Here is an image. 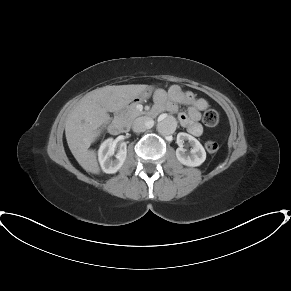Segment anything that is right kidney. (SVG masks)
Wrapping results in <instances>:
<instances>
[{"label": "right kidney", "mask_w": 291, "mask_h": 291, "mask_svg": "<svg viewBox=\"0 0 291 291\" xmlns=\"http://www.w3.org/2000/svg\"><path fill=\"white\" fill-rule=\"evenodd\" d=\"M115 153V146L112 138L105 140L98 150V159L102 170L105 173H116L123 165L127 156L126 144L120 145L118 153L115 155V159L112 156Z\"/></svg>", "instance_id": "obj_1"}]
</instances>
